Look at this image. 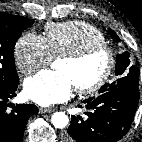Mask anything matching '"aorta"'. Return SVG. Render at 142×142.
<instances>
[{"label":"aorta","mask_w":142,"mask_h":142,"mask_svg":"<svg viewBox=\"0 0 142 142\" xmlns=\"http://www.w3.org/2000/svg\"><path fill=\"white\" fill-rule=\"evenodd\" d=\"M51 122L55 128L63 129L68 125V117L64 112H56L52 115Z\"/></svg>","instance_id":"obj_1"}]
</instances>
